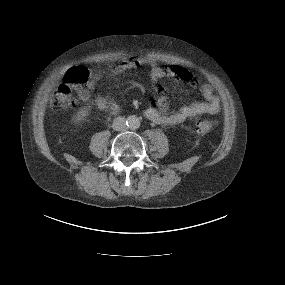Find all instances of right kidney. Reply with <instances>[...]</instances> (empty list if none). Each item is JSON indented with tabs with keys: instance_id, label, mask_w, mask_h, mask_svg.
<instances>
[{
	"instance_id": "1",
	"label": "right kidney",
	"mask_w": 285,
	"mask_h": 285,
	"mask_svg": "<svg viewBox=\"0 0 285 285\" xmlns=\"http://www.w3.org/2000/svg\"><path fill=\"white\" fill-rule=\"evenodd\" d=\"M88 115V109L84 108L80 111H78L73 117L72 120L77 123L80 124V122L82 120H84V118Z\"/></svg>"
}]
</instances>
